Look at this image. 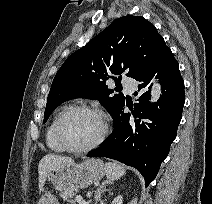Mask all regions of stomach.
Here are the masks:
<instances>
[{"mask_svg": "<svg viewBox=\"0 0 212 204\" xmlns=\"http://www.w3.org/2000/svg\"><path fill=\"white\" fill-rule=\"evenodd\" d=\"M105 165L100 159H88L82 163H68L54 167L48 173V180L58 190L83 189L100 181L105 175ZM37 204H59L50 192H46Z\"/></svg>", "mask_w": 212, "mask_h": 204, "instance_id": "0dacf381", "label": "stomach"}]
</instances>
